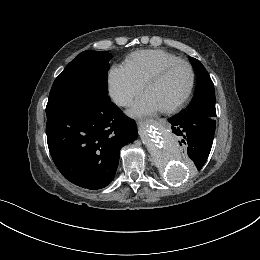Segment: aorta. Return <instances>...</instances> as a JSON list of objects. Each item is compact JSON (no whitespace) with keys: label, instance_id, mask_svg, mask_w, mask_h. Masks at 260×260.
Segmentation results:
<instances>
[{"label":"aorta","instance_id":"obj_1","mask_svg":"<svg viewBox=\"0 0 260 260\" xmlns=\"http://www.w3.org/2000/svg\"><path fill=\"white\" fill-rule=\"evenodd\" d=\"M143 144L150 152L156 166L170 182H179L189 175L187 163L175 137L156 123L140 127Z\"/></svg>","mask_w":260,"mask_h":260}]
</instances>
